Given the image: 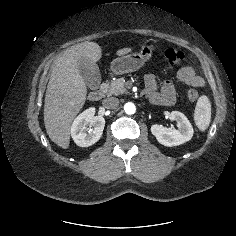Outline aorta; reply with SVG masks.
I'll list each match as a JSON object with an SVG mask.
<instances>
[{
	"label": "aorta",
	"mask_w": 236,
	"mask_h": 236,
	"mask_svg": "<svg viewBox=\"0 0 236 236\" xmlns=\"http://www.w3.org/2000/svg\"><path fill=\"white\" fill-rule=\"evenodd\" d=\"M124 110L127 114H134L136 112V106L132 102H127L124 105Z\"/></svg>",
	"instance_id": "1"
}]
</instances>
